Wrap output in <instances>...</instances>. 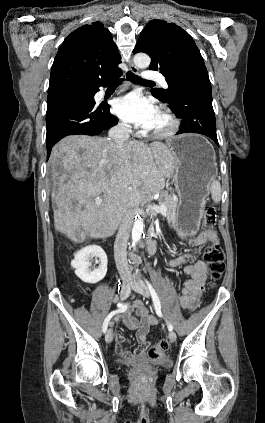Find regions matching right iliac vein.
<instances>
[{
	"label": "right iliac vein",
	"mask_w": 265,
	"mask_h": 423,
	"mask_svg": "<svg viewBox=\"0 0 265 423\" xmlns=\"http://www.w3.org/2000/svg\"><path fill=\"white\" fill-rule=\"evenodd\" d=\"M130 292H131V285H130V283L125 282L122 285L121 290H120V299L121 300H125L130 295ZM105 340H106L107 343H111L112 342V340H113V332H112L111 329H109L107 331L106 336H105Z\"/></svg>",
	"instance_id": "63e3f726"
}]
</instances>
